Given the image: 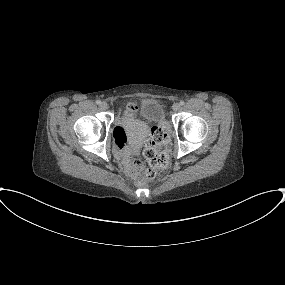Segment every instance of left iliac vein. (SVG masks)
I'll return each mask as SVG.
<instances>
[{
  "label": "left iliac vein",
  "instance_id": "1",
  "mask_svg": "<svg viewBox=\"0 0 285 285\" xmlns=\"http://www.w3.org/2000/svg\"><path fill=\"white\" fill-rule=\"evenodd\" d=\"M181 108L180 104L179 103H174L173 106H172V109L174 111H179Z\"/></svg>",
  "mask_w": 285,
  "mask_h": 285
}]
</instances>
